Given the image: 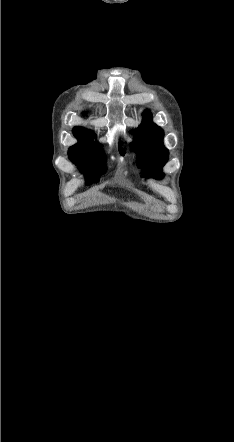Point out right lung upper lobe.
I'll return each instance as SVG.
<instances>
[{"instance_id": "right-lung-upper-lobe-1", "label": "right lung upper lobe", "mask_w": 234, "mask_h": 442, "mask_svg": "<svg viewBox=\"0 0 234 442\" xmlns=\"http://www.w3.org/2000/svg\"><path fill=\"white\" fill-rule=\"evenodd\" d=\"M73 133L75 137L80 140V143L88 148L102 147L101 144L92 141L95 134L83 127H75Z\"/></svg>"}]
</instances>
